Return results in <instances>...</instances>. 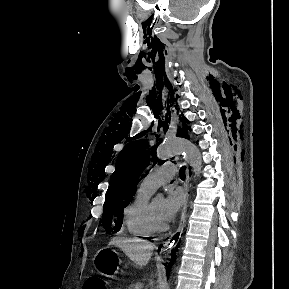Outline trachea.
Masks as SVG:
<instances>
[{"label":"trachea","instance_id":"trachea-1","mask_svg":"<svg viewBox=\"0 0 289 289\" xmlns=\"http://www.w3.org/2000/svg\"><path fill=\"white\" fill-rule=\"evenodd\" d=\"M185 169H186V167L183 166V167H181V169L179 171V176L181 179H185Z\"/></svg>","mask_w":289,"mask_h":289}]
</instances>
